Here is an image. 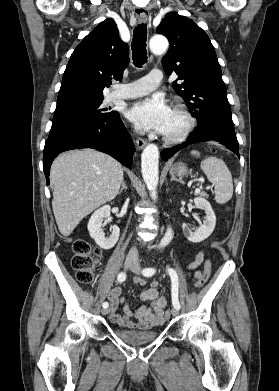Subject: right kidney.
<instances>
[{
  "label": "right kidney",
  "instance_id": "ca27d5eb",
  "mask_svg": "<svg viewBox=\"0 0 279 391\" xmlns=\"http://www.w3.org/2000/svg\"><path fill=\"white\" fill-rule=\"evenodd\" d=\"M110 206L104 205L100 209L96 210L89 222H88V231L90 237L96 242V244L102 249H111L117 243L120 235V229L117 225L110 227L111 235L109 237L105 236L103 229V221H108L110 218Z\"/></svg>",
  "mask_w": 279,
  "mask_h": 391
}]
</instances>
